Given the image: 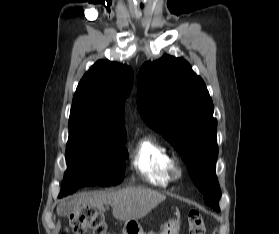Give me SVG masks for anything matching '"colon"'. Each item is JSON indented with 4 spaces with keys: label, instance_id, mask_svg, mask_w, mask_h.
<instances>
[{
    "label": "colon",
    "instance_id": "obj_1",
    "mask_svg": "<svg viewBox=\"0 0 279 234\" xmlns=\"http://www.w3.org/2000/svg\"><path fill=\"white\" fill-rule=\"evenodd\" d=\"M189 234H206V225L199 212L192 210L188 215ZM109 234L107 223L96 209L82 207L74 212L66 234Z\"/></svg>",
    "mask_w": 279,
    "mask_h": 234
}]
</instances>
